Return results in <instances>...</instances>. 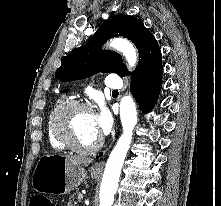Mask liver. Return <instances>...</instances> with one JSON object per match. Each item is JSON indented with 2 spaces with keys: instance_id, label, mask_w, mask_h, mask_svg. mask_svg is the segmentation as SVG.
<instances>
[{
  "instance_id": "6515ba94",
  "label": "liver",
  "mask_w": 221,
  "mask_h": 206,
  "mask_svg": "<svg viewBox=\"0 0 221 206\" xmlns=\"http://www.w3.org/2000/svg\"><path fill=\"white\" fill-rule=\"evenodd\" d=\"M73 164L88 166L92 163V159L84 158V157H67Z\"/></svg>"
}]
</instances>
